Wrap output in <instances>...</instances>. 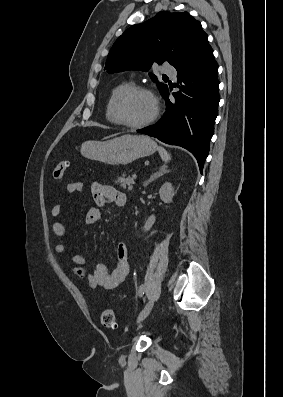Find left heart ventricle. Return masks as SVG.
<instances>
[{
  "instance_id": "1",
  "label": "left heart ventricle",
  "mask_w": 283,
  "mask_h": 397,
  "mask_svg": "<svg viewBox=\"0 0 283 397\" xmlns=\"http://www.w3.org/2000/svg\"><path fill=\"white\" fill-rule=\"evenodd\" d=\"M154 110L152 99L144 93L128 97L122 104L123 118L131 123H139L151 116Z\"/></svg>"
}]
</instances>
